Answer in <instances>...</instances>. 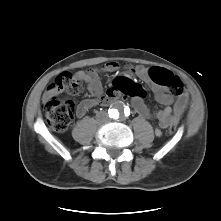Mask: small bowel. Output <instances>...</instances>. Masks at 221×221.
<instances>
[{"mask_svg": "<svg viewBox=\"0 0 221 221\" xmlns=\"http://www.w3.org/2000/svg\"><path fill=\"white\" fill-rule=\"evenodd\" d=\"M119 69V63L108 62L101 68H95L89 71H79L74 75L75 82H84L92 96L91 98L84 99L78 103L76 108V114L78 117L84 116L89 109L97 105L110 104L112 101L118 98L121 93L127 95L123 92V88L128 83L133 82L129 76L117 77L113 81L111 88H109L106 92L104 91L100 81V73L117 72ZM151 70L152 69L145 68L143 66H137L134 68L136 75L150 86L152 92L154 93L155 99L160 104L164 105V108L155 112V117L159 121V125L154 128V132L157 136H159L161 135L163 129L175 126L179 122L187 109L188 96L184 92L179 96H174L168 93L164 86L157 84L153 80L151 76ZM48 93L49 88L46 92V95H48ZM132 104L142 117H150V111L146 106L143 98L132 97ZM173 104L174 106L171 107Z\"/></svg>", "mask_w": 221, "mask_h": 221, "instance_id": "1", "label": "small bowel"}]
</instances>
